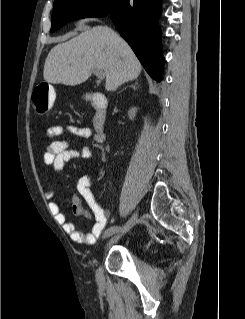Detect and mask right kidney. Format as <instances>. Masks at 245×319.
Instances as JSON below:
<instances>
[{"mask_svg": "<svg viewBox=\"0 0 245 319\" xmlns=\"http://www.w3.org/2000/svg\"><path fill=\"white\" fill-rule=\"evenodd\" d=\"M136 112H137V108L132 107L129 111H128V117L130 120H134L135 116H136Z\"/></svg>", "mask_w": 245, "mask_h": 319, "instance_id": "1", "label": "right kidney"}]
</instances>
